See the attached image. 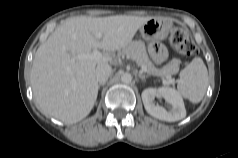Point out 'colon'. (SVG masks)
I'll return each mask as SVG.
<instances>
[{
    "label": "colon",
    "instance_id": "1",
    "mask_svg": "<svg viewBox=\"0 0 238 158\" xmlns=\"http://www.w3.org/2000/svg\"><path fill=\"white\" fill-rule=\"evenodd\" d=\"M170 41L175 49L184 56H192L197 53L196 45L189 34L182 28L173 27Z\"/></svg>",
    "mask_w": 238,
    "mask_h": 158
}]
</instances>
